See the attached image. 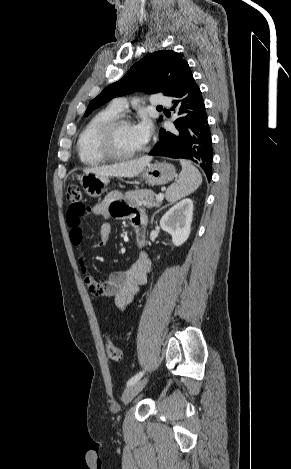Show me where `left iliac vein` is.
I'll return each mask as SVG.
<instances>
[{
	"mask_svg": "<svg viewBox=\"0 0 291 469\" xmlns=\"http://www.w3.org/2000/svg\"><path fill=\"white\" fill-rule=\"evenodd\" d=\"M146 383L147 378H144L128 386L122 395L123 403L128 404L129 402H131V400L144 388Z\"/></svg>",
	"mask_w": 291,
	"mask_h": 469,
	"instance_id": "left-iliac-vein-1",
	"label": "left iliac vein"
}]
</instances>
